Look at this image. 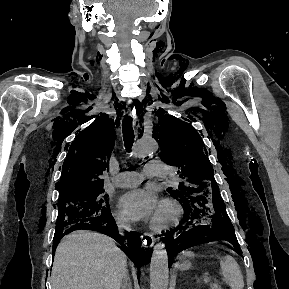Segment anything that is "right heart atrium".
I'll use <instances>...</instances> for the list:
<instances>
[{"mask_svg": "<svg viewBox=\"0 0 289 289\" xmlns=\"http://www.w3.org/2000/svg\"><path fill=\"white\" fill-rule=\"evenodd\" d=\"M115 219L119 226L124 227V228L129 227V221L122 213H116Z\"/></svg>", "mask_w": 289, "mask_h": 289, "instance_id": "d8ad5b80", "label": "right heart atrium"}]
</instances>
